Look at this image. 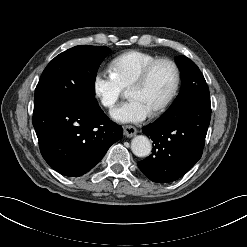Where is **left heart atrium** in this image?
Here are the masks:
<instances>
[{
  "instance_id": "obj_1",
  "label": "left heart atrium",
  "mask_w": 247,
  "mask_h": 247,
  "mask_svg": "<svg viewBox=\"0 0 247 247\" xmlns=\"http://www.w3.org/2000/svg\"><path fill=\"white\" fill-rule=\"evenodd\" d=\"M150 112L151 110L142 102L131 98L115 107L111 111V116L118 122L137 123L148 117Z\"/></svg>"
}]
</instances>
